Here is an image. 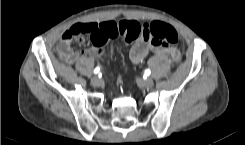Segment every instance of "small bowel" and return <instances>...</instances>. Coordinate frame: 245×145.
<instances>
[{
    "mask_svg": "<svg viewBox=\"0 0 245 145\" xmlns=\"http://www.w3.org/2000/svg\"><path fill=\"white\" fill-rule=\"evenodd\" d=\"M122 21L131 22L134 20L124 19ZM120 22L114 20H104L100 22L93 21L86 23L92 25L94 30L96 31V35L93 38V49H73L71 47V40L65 38V35L67 33L65 32L63 35V39L59 42L57 46V51L59 55L69 64H73L78 58L85 55H95L97 57H100L104 52V47L111 40L109 33L112 30L117 29ZM65 48L69 50L68 56H66L63 52V49ZM151 52H155L157 54L168 53L172 55L173 49L152 42L139 40L131 48L130 59L133 63H139Z\"/></svg>",
    "mask_w": 245,
    "mask_h": 145,
    "instance_id": "1",
    "label": "small bowel"
}]
</instances>
